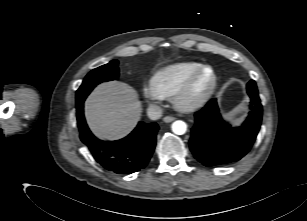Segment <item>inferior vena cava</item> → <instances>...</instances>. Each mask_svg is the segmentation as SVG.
Segmentation results:
<instances>
[{"instance_id": "inferior-vena-cava-1", "label": "inferior vena cava", "mask_w": 307, "mask_h": 221, "mask_svg": "<svg viewBox=\"0 0 307 221\" xmlns=\"http://www.w3.org/2000/svg\"><path fill=\"white\" fill-rule=\"evenodd\" d=\"M147 115L151 120H158L162 117V109L158 105H150L147 109Z\"/></svg>"}]
</instances>
